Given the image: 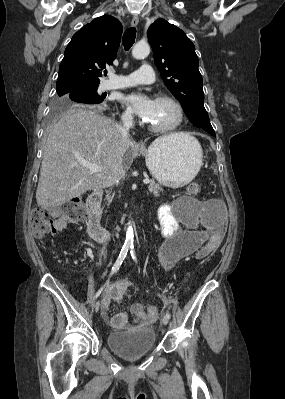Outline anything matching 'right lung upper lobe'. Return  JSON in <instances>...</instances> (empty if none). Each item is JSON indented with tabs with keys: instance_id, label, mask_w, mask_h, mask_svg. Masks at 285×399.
Masks as SVG:
<instances>
[{
	"instance_id": "1",
	"label": "right lung upper lobe",
	"mask_w": 285,
	"mask_h": 399,
	"mask_svg": "<svg viewBox=\"0 0 285 399\" xmlns=\"http://www.w3.org/2000/svg\"><path fill=\"white\" fill-rule=\"evenodd\" d=\"M122 31L118 19L103 15L76 32L59 66L56 91L98 87L100 71L116 58Z\"/></svg>"
}]
</instances>
